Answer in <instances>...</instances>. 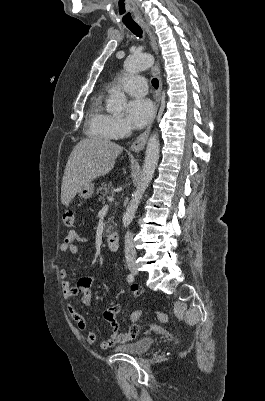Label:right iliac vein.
<instances>
[{"instance_id": "1", "label": "right iliac vein", "mask_w": 265, "mask_h": 401, "mask_svg": "<svg viewBox=\"0 0 265 401\" xmlns=\"http://www.w3.org/2000/svg\"><path fill=\"white\" fill-rule=\"evenodd\" d=\"M128 268H129V270H130L134 275H138V274H139L137 265H136L135 263H132V262L129 263V264H128Z\"/></svg>"}]
</instances>
